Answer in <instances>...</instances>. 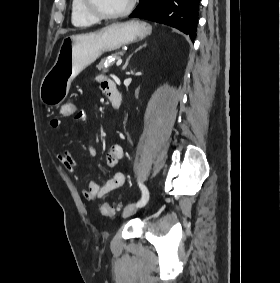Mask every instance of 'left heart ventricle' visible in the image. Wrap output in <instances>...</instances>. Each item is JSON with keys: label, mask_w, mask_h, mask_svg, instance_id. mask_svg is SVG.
<instances>
[{"label": "left heart ventricle", "mask_w": 280, "mask_h": 283, "mask_svg": "<svg viewBox=\"0 0 280 283\" xmlns=\"http://www.w3.org/2000/svg\"><path fill=\"white\" fill-rule=\"evenodd\" d=\"M130 0H93L94 5L103 13L114 14L124 10Z\"/></svg>", "instance_id": "1"}]
</instances>
